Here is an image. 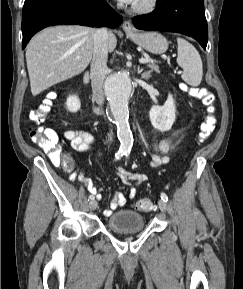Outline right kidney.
<instances>
[{"label":"right kidney","instance_id":"1","mask_svg":"<svg viewBox=\"0 0 243 289\" xmlns=\"http://www.w3.org/2000/svg\"><path fill=\"white\" fill-rule=\"evenodd\" d=\"M67 109L70 112H77L81 107L80 99L76 95H70L66 101Z\"/></svg>","mask_w":243,"mask_h":289}]
</instances>
